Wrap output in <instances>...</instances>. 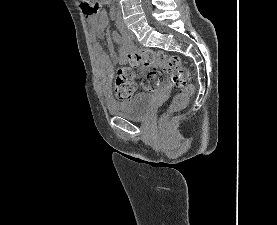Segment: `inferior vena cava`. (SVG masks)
Wrapping results in <instances>:
<instances>
[{
  "label": "inferior vena cava",
  "instance_id": "inferior-vena-cava-1",
  "mask_svg": "<svg viewBox=\"0 0 277 225\" xmlns=\"http://www.w3.org/2000/svg\"><path fill=\"white\" fill-rule=\"evenodd\" d=\"M117 25H119L120 23H122V18L121 16H117Z\"/></svg>",
  "mask_w": 277,
  "mask_h": 225
}]
</instances>
